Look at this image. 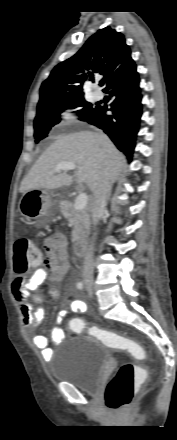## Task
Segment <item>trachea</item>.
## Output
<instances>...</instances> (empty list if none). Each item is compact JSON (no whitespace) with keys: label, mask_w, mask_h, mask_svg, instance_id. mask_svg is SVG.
<instances>
[{"label":"trachea","mask_w":177,"mask_h":440,"mask_svg":"<svg viewBox=\"0 0 177 440\" xmlns=\"http://www.w3.org/2000/svg\"><path fill=\"white\" fill-rule=\"evenodd\" d=\"M104 84V82H100V85L102 86Z\"/></svg>","instance_id":"obj_1"}]
</instances>
